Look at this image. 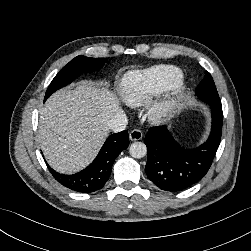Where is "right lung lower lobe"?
Listing matches in <instances>:
<instances>
[{"label":"right lung lower lobe","mask_w":251,"mask_h":251,"mask_svg":"<svg viewBox=\"0 0 251 251\" xmlns=\"http://www.w3.org/2000/svg\"><path fill=\"white\" fill-rule=\"evenodd\" d=\"M128 144L129 135L126 130L109 136L94 161L73 175L58 173L46 164L53 177L66 188L76 192L91 193L106 184L115 158L128 147Z\"/></svg>","instance_id":"1"}]
</instances>
